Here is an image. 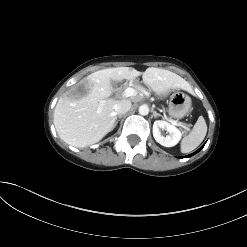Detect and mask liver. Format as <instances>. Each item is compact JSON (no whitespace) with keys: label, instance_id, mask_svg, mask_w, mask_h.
Returning a JSON list of instances; mask_svg holds the SVG:
<instances>
[{"label":"liver","instance_id":"1","mask_svg":"<svg viewBox=\"0 0 247 247\" xmlns=\"http://www.w3.org/2000/svg\"><path fill=\"white\" fill-rule=\"evenodd\" d=\"M141 75L144 84L156 94L171 89L191 91L186 80L165 69L150 67L140 72L134 68L117 67L96 71L82 81L87 89L85 96L75 99L68 91L58 100L54 110V125L59 137L78 148L99 142L115 127L114 110L118 101L109 98L111 81L131 80Z\"/></svg>","mask_w":247,"mask_h":247}]
</instances>
